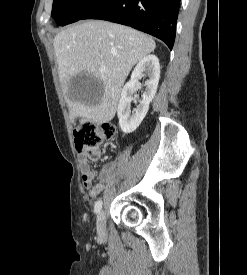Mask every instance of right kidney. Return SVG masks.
Here are the masks:
<instances>
[{
	"label": "right kidney",
	"mask_w": 247,
	"mask_h": 275,
	"mask_svg": "<svg viewBox=\"0 0 247 275\" xmlns=\"http://www.w3.org/2000/svg\"><path fill=\"white\" fill-rule=\"evenodd\" d=\"M143 76H148L145 81V91L143 99L131 114V102L133 93L139 86V79ZM160 78V64L155 55H147L134 68L131 79L122 89L121 97L117 107V115L119 118V126L124 133L135 131L143 119L145 118L149 104L153 100Z\"/></svg>",
	"instance_id": "ca27d5eb"
}]
</instances>
